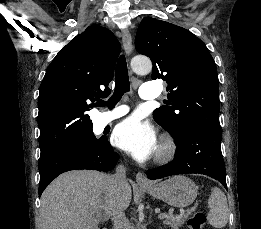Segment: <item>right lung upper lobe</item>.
I'll return each instance as SVG.
<instances>
[{"instance_id":"obj_1","label":"right lung upper lobe","mask_w":261,"mask_h":229,"mask_svg":"<svg viewBox=\"0 0 261 229\" xmlns=\"http://www.w3.org/2000/svg\"><path fill=\"white\" fill-rule=\"evenodd\" d=\"M120 43L108 29L89 26L68 43L46 70L38 98L40 149L54 148L92 131L86 112L110 93Z\"/></svg>"}]
</instances>
